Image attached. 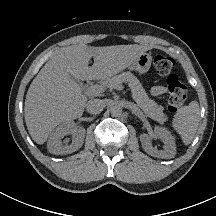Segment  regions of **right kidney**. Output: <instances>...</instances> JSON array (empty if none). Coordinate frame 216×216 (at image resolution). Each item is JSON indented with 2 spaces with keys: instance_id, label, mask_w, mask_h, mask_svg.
<instances>
[{
  "instance_id": "right-kidney-1",
  "label": "right kidney",
  "mask_w": 216,
  "mask_h": 216,
  "mask_svg": "<svg viewBox=\"0 0 216 216\" xmlns=\"http://www.w3.org/2000/svg\"><path fill=\"white\" fill-rule=\"evenodd\" d=\"M71 134L73 139L70 145H64L62 138ZM85 138V129L76 128L73 121H66L59 125L48 139L47 149L55 155H66L77 151L83 145Z\"/></svg>"
}]
</instances>
